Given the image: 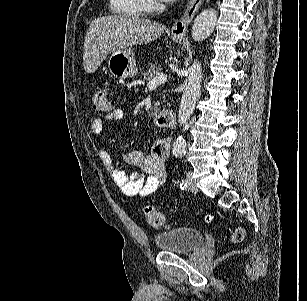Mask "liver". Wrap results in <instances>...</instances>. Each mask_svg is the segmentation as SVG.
<instances>
[{"mask_svg": "<svg viewBox=\"0 0 307 301\" xmlns=\"http://www.w3.org/2000/svg\"><path fill=\"white\" fill-rule=\"evenodd\" d=\"M166 26L140 16H100L92 20L85 36L83 66L95 72L109 52L125 50L132 44H147L163 34Z\"/></svg>", "mask_w": 307, "mask_h": 301, "instance_id": "obj_1", "label": "liver"}]
</instances>
